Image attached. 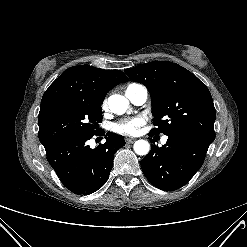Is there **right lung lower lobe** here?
Segmentation results:
<instances>
[{
	"label": "right lung lower lobe",
	"mask_w": 247,
	"mask_h": 247,
	"mask_svg": "<svg viewBox=\"0 0 247 247\" xmlns=\"http://www.w3.org/2000/svg\"><path fill=\"white\" fill-rule=\"evenodd\" d=\"M94 135L66 138L45 147L47 160L61 182L76 194H91L107 181L114 153L124 146L123 136L108 132L106 142L95 149L87 145Z\"/></svg>",
	"instance_id": "1"
}]
</instances>
